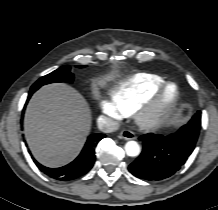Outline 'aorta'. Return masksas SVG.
I'll return each mask as SVG.
<instances>
[{
    "label": "aorta",
    "instance_id": "1",
    "mask_svg": "<svg viewBox=\"0 0 218 210\" xmlns=\"http://www.w3.org/2000/svg\"><path fill=\"white\" fill-rule=\"evenodd\" d=\"M125 152L131 157L138 156L140 154V146L136 141H128L125 144Z\"/></svg>",
    "mask_w": 218,
    "mask_h": 210
}]
</instances>
